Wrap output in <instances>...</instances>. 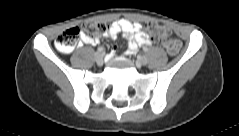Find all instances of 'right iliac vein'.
Returning <instances> with one entry per match:
<instances>
[{
    "instance_id": "right-iliac-vein-1",
    "label": "right iliac vein",
    "mask_w": 239,
    "mask_h": 136,
    "mask_svg": "<svg viewBox=\"0 0 239 136\" xmlns=\"http://www.w3.org/2000/svg\"><path fill=\"white\" fill-rule=\"evenodd\" d=\"M95 60L99 66L103 64L104 54L102 52H97L95 54Z\"/></svg>"
}]
</instances>
